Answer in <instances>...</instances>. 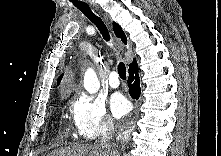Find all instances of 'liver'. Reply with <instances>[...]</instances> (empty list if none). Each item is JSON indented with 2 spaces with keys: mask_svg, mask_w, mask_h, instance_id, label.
Wrapping results in <instances>:
<instances>
[{
  "mask_svg": "<svg viewBox=\"0 0 221 156\" xmlns=\"http://www.w3.org/2000/svg\"><path fill=\"white\" fill-rule=\"evenodd\" d=\"M48 156H115V152L86 144L54 150Z\"/></svg>",
  "mask_w": 221,
  "mask_h": 156,
  "instance_id": "liver-1",
  "label": "liver"
}]
</instances>
